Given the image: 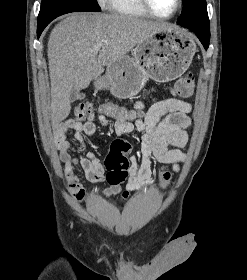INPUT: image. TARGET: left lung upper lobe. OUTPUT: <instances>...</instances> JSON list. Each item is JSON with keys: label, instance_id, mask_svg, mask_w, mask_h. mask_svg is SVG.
I'll list each match as a JSON object with an SVG mask.
<instances>
[{"label": "left lung upper lobe", "instance_id": "1", "mask_svg": "<svg viewBox=\"0 0 247 280\" xmlns=\"http://www.w3.org/2000/svg\"><path fill=\"white\" fill-rule=\"evenodd\" d=\"M177 22L188 29L210 34L206 0H184V8Z\"/></svg>", "mask_w": 247, "mask_h": 280}]
</instances>
